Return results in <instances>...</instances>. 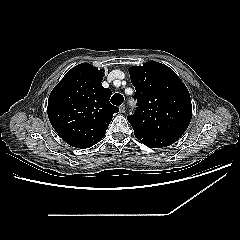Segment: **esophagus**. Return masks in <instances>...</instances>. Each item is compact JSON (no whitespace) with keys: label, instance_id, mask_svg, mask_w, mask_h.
<instances>
[{"label":"esophagus","instance_id":"obj_1","mask_svg":"<svg viewBox=\"0 0 240 240\" xmlns=\"http://www.w3.org/2000/svg\"><path fill=\"white\" fill-rule=\"evenodd\" d=\"M119 110H120V113H124V112H125V105L122 104V105L119 107Z\"/></svg>","mask_w":240,"mask_h":240}]
</instances>
